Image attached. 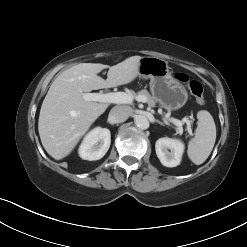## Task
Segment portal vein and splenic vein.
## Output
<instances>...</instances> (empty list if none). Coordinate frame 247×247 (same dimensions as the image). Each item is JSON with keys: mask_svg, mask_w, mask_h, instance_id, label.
Returning a JSON list of instances; mask_svg holds the SVG:
<instances>
[{"mask_svg": "<svg viewBox=\"0 0 247 247\" xmlns=\"http://www.w3.org/2000/svg\"><path fill=\"white\" fill-rule=\"evenodd\" d=\"M82 98L85 101H95V102H101V103H114V104H131L133 101V98L125 92L83 93ZM137 100L144 102L145 98L139 97ZM168 121L178 126L180 134L183 133L182 125L186 123L188 132L192 134L191 125L187 119L180 121L178 119L170 118L168 119Z\"/></svg>", "mask_w": 247, "mask_h": 247, "instance_id": "portal-vein-and-splenic-vein-1", "label": "portal vein and splenic vein"}]
</instances>
